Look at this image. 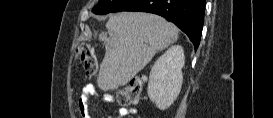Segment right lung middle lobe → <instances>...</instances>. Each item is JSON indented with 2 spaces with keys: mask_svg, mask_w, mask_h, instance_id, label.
Masks as SVG:
<instances>
[{
  "mask_svg": "<svg viewBox=\"0 0 273 118\" xmlns=\"http://www.w3.org/2000/svg\"><path fill=\"white\" fill-rule=\"evenodd\" d=\"M125 0H99L98 4L94 6L93 13L105 15L113 12L119 7Z\"/></svg>",
  "mask_w": 273,
  "mask_h": 118,
  "instance_id": "dd1d6c3e",
  "label": "right lung middle lobe"
}]
</instances>
